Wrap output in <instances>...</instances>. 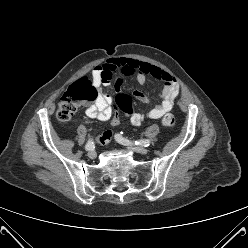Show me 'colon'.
Masks as SVG:
<instances>
[{"label":"colon","instance_id":"1","mask_svg":"<svg viewBox=\"0 0 248 248\" xmlns=\"http://www.w3.org/2000/svg\"><path fill=\"white\" fill-rule=\"evenodd\" d=\"M97 89L92 85L87 77H81L73 84L69 86L67 91L63 94L58 102V108L56 112V118L60 122L69 121L78 111L81 105L84 103H90L97 99ZM117 106L124 110L126 116L131 117L134 115L135 110L131 107V100L129 96L125 94H119L117 96ZM175 118L171 114H166L162 118V124L165 126H173ZM112 125L119 127L121 120L116 114L112 119ZM111 134L109 131H102L101 135L96 138L99 144H109Z\"/></svg>","mask_w":248,"mask_h":248}]
</instances>
